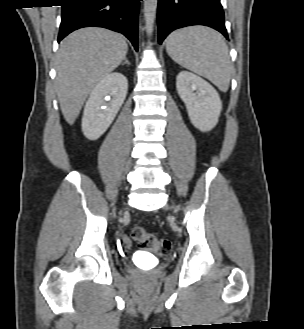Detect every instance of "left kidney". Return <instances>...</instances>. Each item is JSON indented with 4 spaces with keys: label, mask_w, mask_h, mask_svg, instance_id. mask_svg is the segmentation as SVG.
<instances>
[{
    "label": "left kidney",
    "mask_w": 304,
    "mask_h": 329,
    "mask_svg": "<svg viewBox=\"0 0 304 329\" xmlns=\"http://www.w3.org/2000/svg\"><path fill=\"white\" fill-rule=\"evenodd\" d=\"M176 87L191 123L202 132L212 130L222 110V102L214 87L188 71H181L177 75Z\"/></svg>",
    "instance_id": "1"
}]
</instances>
